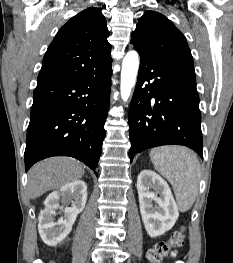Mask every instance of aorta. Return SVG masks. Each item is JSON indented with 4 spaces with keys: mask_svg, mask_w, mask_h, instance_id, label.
<instances>
[{
    "mask_svg": "<svg viewBox=\"0 0 233 263\" xmlns=\"http://www.w3.org/2000/svg\"><path fill=\"white\" fill-rule=\"evenodd\" d=\"M139 68V55L136 51H129L123 59L121 71V97L127 101L136 83Z\"/></svg>",
    "mask_w": 233,
    "mask_h": 263,
    "instance_id": "obj_1",
    "label": "aorta"
}]
</instances>
